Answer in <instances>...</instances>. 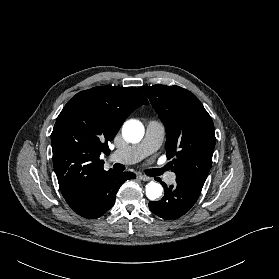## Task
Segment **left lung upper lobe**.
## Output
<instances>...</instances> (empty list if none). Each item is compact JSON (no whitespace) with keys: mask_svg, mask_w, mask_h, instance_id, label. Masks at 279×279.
Wrapping results in <instances>:
<instances>
[{"mask_svg":"<svg viewBox=\"0 0 279 279\" xmlns=\"http://www.w3.org/2000/svg\"><path fill=\"white\" fill-rule=\"evenodd\" d=\"M166 129L169 163L176 182L201 191L212 164L215 133L212 119L199 99L179 86L140 87Z\"/></svg>","mask_w":279,"mask_h":279,"instance_id":"left-lung-upper-lobe-1","label":"left lung upper lobe"}]
</instances>
